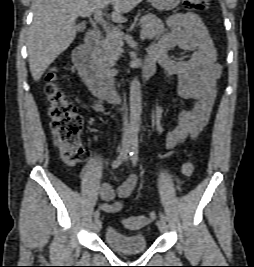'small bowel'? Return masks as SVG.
I'll list each match as a JSON object with an SVG mask.
<instances>
[{"instance_id":"c3829d8e","label":"small bowel","mask_w":254,"mask_h":267,"mask_svg":"<svg viewBox=\"0 0 254 267\" xmlns=\"http://www.w3.org/2000/svg\"><path fill=\"white\" fill-rule=\"evenodd\" d=\"M169 31L149 49L147 57L157 61L165 71L168 81H176L178 93L182 98L193 99L190 110L180 112L178 119L167 136V147L173 148L187 138L197 137L207 125L216 97V80L221 74V66L216 62V49L209 32L201 18L194 13H177L167 19ZM179 47L191 52L189 60H175L168 51ZM90 108L104 111L103 101L90 100ZM155 124L161 132L162 108L155 112ZM138 178L131 174L117 190L120 198L125 199L133 192ZM98 195L105 202L101 209L107 213H118L123 207L122 201H113L115 193L108 183L96 186Z\"/></svg>"}]
</instances>
